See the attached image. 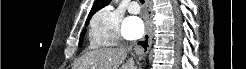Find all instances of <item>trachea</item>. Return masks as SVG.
<instances>
[{"label":"trachea","mask_w":246,"mask_h":69,"mask_svg":"<svg viewBox=\"0 0 246 69\" xmlns=\"http://www.w3.org/2000/svg\"><path fill=\"white\" fill-rule=\"evenodd\" d=\"M140 2L143 4L144 3V0H140Z\"/></svg>","instance_id":"1"}]
</instances>
